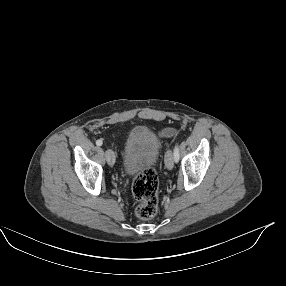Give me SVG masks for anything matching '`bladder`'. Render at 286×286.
Here are the masks:
<instances>
[{
  "instance_id": "1",
  "label": "bladder",
  "mask_w": 286,
  "mask_h": 286,
  "mask_svg": "<svg viewBox=\"0 0 286 286\" xmlns=\"http://www.w3.org/2000/svg\"><path fill=\"white\" fill-rule=\"evenodd\" d=\"M161 152V143L149 128L133 129L125 140L122 154L123 173L132 178L156 164Z\"/></svg>"
}]
</instances>
